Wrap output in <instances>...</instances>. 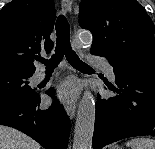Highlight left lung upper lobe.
I'll list each match as a JSON object with an SVG mask.
<instances>
[{
	"label": "left lung upper lobe",
	"instance_id": "5c2ea615",
	"mask_svg": "<svg viewBox=\"0 0 155 149\" xmlns=\"http://www.w3.org/2000/svg\"><path fill=\"white\" fill-rule=\"evenodd\" d=\"M79 24L93 35L91 51L155 56L154 24L136 0H82Z\"/></svg>",
	"mask_w": 155,
	"mask_h": 149
}]
</instances>
